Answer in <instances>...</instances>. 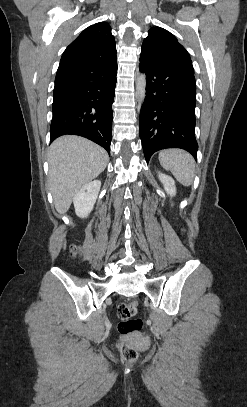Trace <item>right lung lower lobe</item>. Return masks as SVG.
Masks as SVG:
<instances>
[{"label": "right lung lower lobe", "instance_id": "obj_1", "mask_svg": "<svg viewBox=\"0 0 247 407\" xmlns=\"http://www.w3.org/2000/svg\"><path fill=\"white\" fill-rule=\"evenodd\" d=\"M116 75L114 61L95 68L80 82L54 91L50 142L65 134L79 135L110 153Z\"/></svg>", "mask_w": 247, "mask_h": 407}]
</instances>
